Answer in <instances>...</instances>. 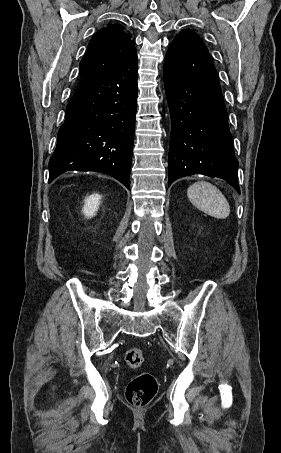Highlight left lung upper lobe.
<instances>
[{"mask_svg":"<svg viewBox=\"0 0 281 453\" xmlns=\"http://www.w3.org/2000/svg\"><path fill=\"white\" fill-rule=\"evenodd\" d=\"M179 35H192V36H196L195 32L191 31V30H183L182 32H180L177 36Z\"/></svg>","mask_w":281,"mask_h":453,"instance_id":"obj_1","label":"left lung upper lobe"}]
</instances>
